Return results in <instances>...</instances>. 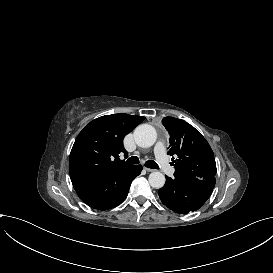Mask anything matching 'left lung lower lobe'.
I'll return each instance as SVG.
<instances>
[{
    "label": "left lung lower lobe",
    "mask_w": 273,
    "mask_h": 273,
    "mask_svg": "<svg viewBox=\"0 0 273 273\" xmlns=\"http://www.w3.org/2000/svg\"><path fill=\"white\" fill-rule=\"evenodd\" d=\"M216 179L190 178L179 173L166 176L165 185L158 190L162 203L177 213L186 214L198 210L210 197Z\"/></svg>",
    "instance_id": "left-lung-lower-lobe-1"
}]
</instances>
